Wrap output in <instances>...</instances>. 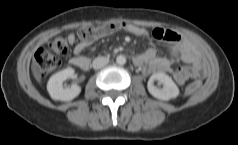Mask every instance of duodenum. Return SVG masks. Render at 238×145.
<instances>
[{"mask_svg":"<svg viewBox=\"0 0 238 145\" xmlns=\"http://www.w3.org/2000/svg\"><path fill=\"white\" fill-rule=\"evenodd\" d=\"M132 60H133V63L136 65V63H137V59H136V57H133ZM89 65H90V64H89ZM88 68H89V66H88ZM88 68H87V69H88Z\"/></svg>","mask_w":238,"mask_h":145,"instance_id":"obj_1","label":"duodenum"}]
</instances>
